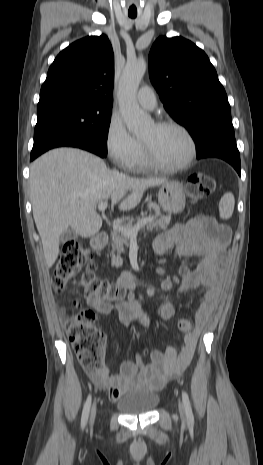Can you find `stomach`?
Here are the masks:
<instances>
[{
  "mask_svg": "<svg viewBox=\"0 0 263 465\" xmlns=\"http://www.w3.org/2000/svg\"><path fill=\"white\" fill-rule=\"evenodd\" d=\"M160 206L170 214L181 213L186 204L185 193L181 183L170 181L163 184L158 192Z\"/></svg>",
  "mask_w": 263,
  "mask_h": 465,
  "instance_id": "1",
  "label": "stomach"
}]
</instances>
